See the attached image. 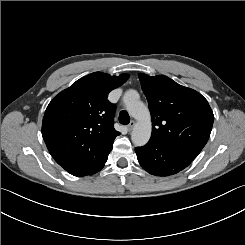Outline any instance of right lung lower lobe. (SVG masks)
I'll list each match as a JSON object with an SVG mask.
<instances>
[{
  "instance_id": "right-lung-lower-lobe-1",
  "label": "right lung lower lobe",
  "mask_w": 245,
  "mask_h": 245,
  "mask_svg": "<svg viewBox=\"0 0 245 245\" xmlns=\"http://www.w3.org/2000/svg\"><path fill=\"white\" fill-rule=\"evenodd\" d=\"M107 158H108V157H107ZM107 158H106L100 165H98V166L95 168V170H94L93 172H91V173L88 174V175H91V174H93V173H96V172L100 171V170L103 168L104 164L106 163Z\"/></svg>"
}]
</instances>
